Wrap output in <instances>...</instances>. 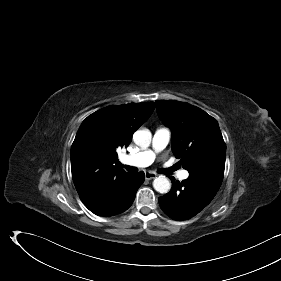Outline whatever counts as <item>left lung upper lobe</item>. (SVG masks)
Returning <instances> with one entry per match:
<instances>
[{"label":"left lung upper lobe","instance_id":"1","mask_svg":"<svg viewBox=\"0 0 281 281\" xmlns=\"http://www.w3.org/2000/svg\"><path fill=\"white\" fill-rule=\"evenodd\" d=\"M163 122L172 129V151L191 175L222 183L226 145L218 122L202 109L174 100L156 101Z\"/></svg>","mask_w":281,"mask_h":281}]
</instances>
